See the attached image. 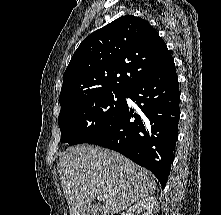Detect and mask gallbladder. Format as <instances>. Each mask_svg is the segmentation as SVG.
<instances>
[{"instance_id":"obj_1","label":"gallbladder","mask_w":221,"mask_h":215,"mask_svg":"<svg viewBox=\"0 0 221 215\" xmlns=\"http://www.w3.org/2000/svg\"><path fill=\"white\" fill-rule=\"evenodd\" d=\"M85 215H105L104 209L97 205H91L87 210L85 211Z\"/></svg>"}]
</instances>
